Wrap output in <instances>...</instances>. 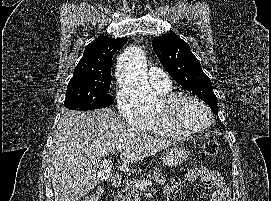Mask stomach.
Returning <instances> with one entry per match:
<instances>
[{
  "label": "stomach",
  "instance_id": "0dacf381",
  "mask_svg": "<svg viewBox=\"0 0 271 201\" xmlns=\"http://www.w3.org/2000/svg\"><path fill=\"white\" fill-rule=\"evenodd\" d=\"M189 156V152L182 146H173L167 149L163 155V163L168 167H176L183 164Z\"/></svg>",
  "mask_w": 271,
  "mask_h": 201
}]
</instances>
